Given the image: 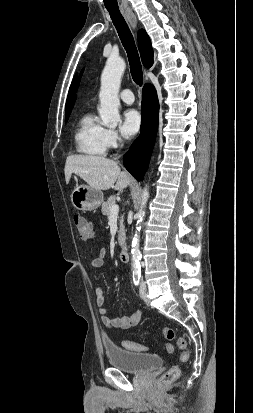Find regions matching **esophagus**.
<instances>
[{"label": "esophagus", "instance_id": "1", "mask_svg": "<svg viewBox=\"0 0 253 413\" xmlns=\"http://www.w3.org/2000/svg\"><path fill=\"white\" fill-rule=\"evenodd\" d=\"M125 17L128 19L130 25L132 26L133 29L136 28L137 26V19L136 16L134 15L133 12L131 11H126L124 12Z\"/></svg>", "mask_w": 253, "mask_h": 413}]
</instances>
